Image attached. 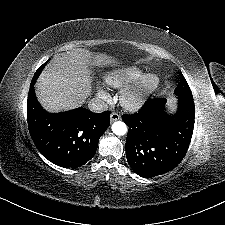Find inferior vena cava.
Here are the masks:
<instances>
[{
  "instance_id": "inferior-vena-cava-1",
  "label": "inferior vena cava",
  "mask_w": 225,
  "mask_h": 225,
  "mask_svg": "<svg viewBox=\"0 0 225 225\" xmlns=\"http://www.w3.org/2000/svg\"><path fill=\"white\" fill-rule=\"evenodd\" d=\"M88 108L92 112L100 113V112H104V111L108 110V105H107V103H105L104 101H102L100 99L93 98L89 101Z\"/></svg>"
}]
</instances>
